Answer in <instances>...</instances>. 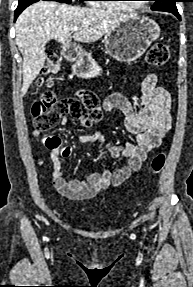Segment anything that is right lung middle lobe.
Segmentation results:
<instances>
[{"mask_svg":"<svg viewBox=\"0 0 193 287\" xmlns=\"http://www.w3.org/2000/svg\"><path fill=\"white\" fill-rule=\"evenodd\" d=\"M39 1V0H37ZM51 1H56V2H61V3H67V4H70L71 3V0H51ZM80 1H85V0H80Z\"/></svg>","mask_w":193,"mask_h":287,"instance_id":"obj_1","label":"right lung middle lobe"}]
</instances>
